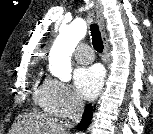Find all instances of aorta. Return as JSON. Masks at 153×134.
<instances>
[{
	"mask_svg": "<svg viewBox=\"0 0 153 134\" xmlns=\"http://www.w3.org/2000/svg\"><path fill=\"white\" fill-rule=\"evenodd\" d=\"M87 26L83 19H76L62 27L49 55L50 71L62 82L72 78L71 55L78 42L86 35Z\"/></svg>",
	"mask_w": 153,
	"mask_h": 134,
	"instance_id": "aorta-1",
	"label": "aorta"
}]
</instances>
